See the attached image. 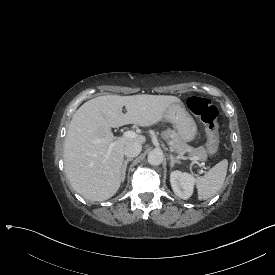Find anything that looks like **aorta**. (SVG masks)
Segmentation results:
<instances>
[{
	"label": "aorta",
	"instance_id": "aorta-1",
	"mask_svg": "<svg viewBox=\"0 0 275 275\" xmlns=\"http://www.w3.org/2000/svg\"><path fill=\"white\" fill-rule=\"evenodd\" d=\"M148 161L153 165H159L163 161V152L159 149H154L148 154Z\"/></svg>",
	"mask_w": 275,
	"mask_h": 275
}]
</instances>
